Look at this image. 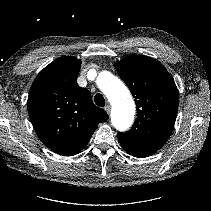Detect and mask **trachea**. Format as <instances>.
I'll use <instances>...</instances> for the list:
<instances>
[{
	"mask_svg": "<svg viewBox=\"0 0 211 211\" xmlns=\"http://www.w3.org/2000/svg\"><path fill=\"white\" fill-rule=\"evenodd\" d=\"M94 101L97 106L104 107L105 106V98L102 94L98 93L94 96Z\"/></svg>",
	"mask_w": 211,
	"mask_h": 211,
	"instance_id": "obj_1",
	"label": "trachea"
}]
</instances>
